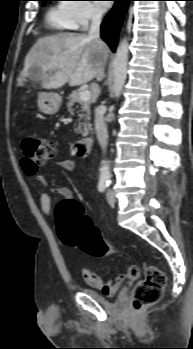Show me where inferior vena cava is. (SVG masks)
Here are the masks:
<instances>
[{"label": "inferior vena cava", "instance_id": "inferior-vena-cava-1", "mask_svg": "<svg viewBox=\"0 0 193 349\" xmlns=\"http://www.w3.org/2000/svg\"><path fill=\"white\" fill-rule=\"evenodd\" d=\"M103 15V10L94 8L91 13V26L89 30V37L92 39L100 40V24L101 18ZM95 131L97 139L102 147L105 150L108 140L107 126L104 121V112L100 107L95 109Z\"/></svg>", "mask_w": 193, "mask_h": 349}]
</instances>
